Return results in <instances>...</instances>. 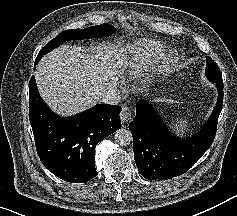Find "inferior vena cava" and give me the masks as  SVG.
Wrapping results in <instances>:
<instances>
[{
	"instance_id": "obj_1",
	"label": "inferior vena cava",
	"mask_w": 237,
	"mask_h": 216,
	"mask_svg": "<svg viewBox=\"0 0 237 216\" xmlns=\"http://www.w3.org/2000/svg\"><path fill=\"white\" fill-rule=\"evenodd\" d=\"M122 101L121 93L116 87H108L105 91L100 92L99 102L118 105Z\"/></svg>"
}]
</instances>
